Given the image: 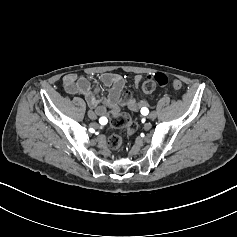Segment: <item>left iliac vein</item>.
<instances>
[{
  "label": "left iliac vein",
  "mask_w": 237,
  "mask_h": 237,
  "mask_svg": "<svg viewBox=\"0 0 237 237\" xmlns=\"http://www.w3.org/2000/svg\"><path fill=\"white\" fill-rule=\"evenodd\" d=\"M156 116H157V113L156 112H151L150 114H149V119H155L156 118Z\"/></svg>",
  "instance_id": "1"
}]
</instances>
